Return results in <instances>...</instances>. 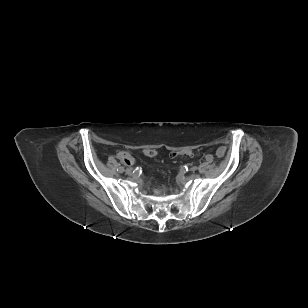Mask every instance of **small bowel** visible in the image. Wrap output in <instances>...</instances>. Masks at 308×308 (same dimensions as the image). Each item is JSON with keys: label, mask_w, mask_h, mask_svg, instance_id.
<instances>
[{"label": "small bowel", "mask_w": 308, "mask_h": 308, "mask_svg": "<svg viewBox=\"0 0 308 308\" xmlns=\"http://www.w3.org/2000/svg\"><path fill=\"white\" fill-rule=\"evenodd\" d=\"M225 154V148L224 147H220L218 150H217V155L219 157L223 156Z\"/></svg>", "instance_id": "c3829d8e"}]
</instances>
